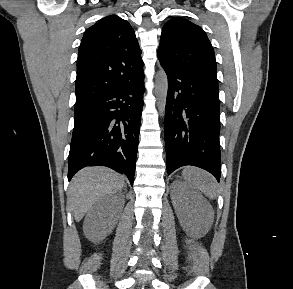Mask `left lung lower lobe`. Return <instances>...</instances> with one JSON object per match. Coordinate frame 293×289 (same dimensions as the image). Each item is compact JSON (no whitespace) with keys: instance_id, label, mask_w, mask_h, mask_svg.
I'll list each match as a JSON object with an SVG mask.
<instances>
[{"instance_id":"left-lung-lower-lobe-1","label":"left lung lower lobe","mask_w":293,"mask_h":289,"mask_svg":"<svg viewBox=\"0 0 293 289\" xmlns=\"http://www.w3.org/2000/svg\"><path fill=\"white\" fill-rule=\"evenodd\" d=\"M163 68L168 77L165 110L167 173L192 165L207 170L219 181L218 81Z\"/></svg>"}]
</instances>
